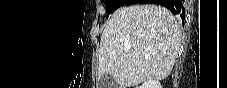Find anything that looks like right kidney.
Returning <instances> with one entry per match:
<instances>
[{"instance_id": "right-kidney-1", "label": "right kidney", "mask_w": 227, "mask_h": 88, "mask_svg": "<svg viewBox=\"0 0 227 88\" xmlns=\"http://www.w3.org/2000/svg\"><path fill=\"white\" fill-rule=\"evenodd\" d=\"M139 88H162L159 81L148 80L145 81Z\"/></svg>"}]
</instances>
